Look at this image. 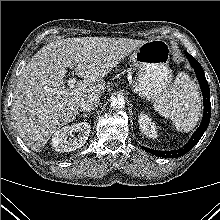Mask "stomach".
I'll return each mask as SVG.
<instances>
[{"instance_id":"stomach-1","label":"stomach","mask_w":220,"mask_h":220,"mask_svg":"<svg viewBox=\"0 0 220 220\" xmlns=\"http://www.w3.org/2000/svg\"><path fill=\"white\" fill-rule=\"evenodd\" d=\"M171 50L160 39L143 43L133 51L130 60L138 69L133 92L149 101H156L170 88L172 71L169 68Z\"/></svg>"}]
</instances>
